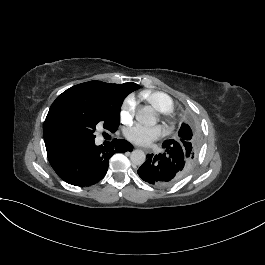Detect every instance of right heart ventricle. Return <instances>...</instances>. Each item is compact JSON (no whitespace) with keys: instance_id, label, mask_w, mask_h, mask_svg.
Instances as JSON below:
<instances>
[{"instance_id":"e07e8e85","label":"right heart ventricle","mask_w":265,"mask_h":265,"mask_svg":"<svg viewBox=\"0 0 265 265\" xmlns=\"http://www.w3.org/2000/svg\"><path fill=\"white\" fill-rule=\"evenodd\" d=\"M141 98L146 100L157 113L169 114L174 109L173 101L169 96L163 93L143 92Z\"/></svg>"}]
</instances>
